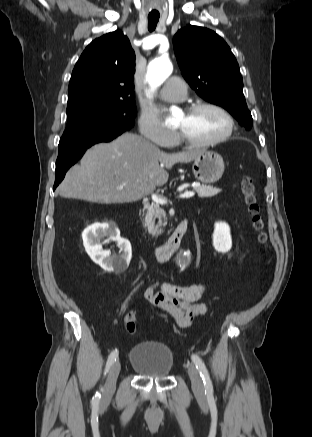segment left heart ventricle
Returning <instances> with one entry per match:
<instances>
[{
  "label": "left heart ventricle",
  "mask_w": 312,
  "mask_h": 437,
  "mask_svg": "<svg viewBox=\"0 0 312 437\" xmlns=\"http://www.w3.org/2000/svg\"><path fill=\"white\" fill-rule=\"evenodd\" d=\"M176 127L193 140L205 141L221 135L226 130L227 122L217 111L203 109L193 114H181Z\"/></svg>",
  "instance_id": "obj_1"
}]
</instances>
